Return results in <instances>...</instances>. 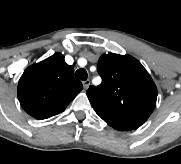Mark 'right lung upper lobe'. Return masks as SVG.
<instances>
[{"label": "right lung upper lobe", "mask_w": 181, "mask_h": 164, "mask_svg": "<svg viewBox=\"0 0 181 164\" xmlns=\"http://www.w3.org/2000/svg\"><path fill=\"white\" fill-rule=\"evenodd\" d=\"M73 74L74 68L66 64L61 53L31 65L18 83L21 106L38 120L63 112L83 89Z\"/></svg>", "instance_id": "cb5924a9"}]
</instances>
